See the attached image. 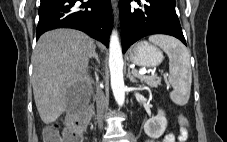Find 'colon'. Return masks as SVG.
Here are the masks:
<instances>
[{
    "label": "colon",
    "instance_id": "1",
    "mask_svg": "<svg viewBox=\"0 0 227 142\" xmlns=\"http://www.w3.org/2000/svg\"><path fill=\"white\" fill-rule=\"evenodd\" d=\"M86 113H74L71 115L69 124L63 129L58 124H52L43 130V142H81V134L87 124ZM181 134L186 141L189 137L187 119L180 115Z\"/></svg>",
    "mask_w": 227,
    "mask_h": 142
}]
</instances>
